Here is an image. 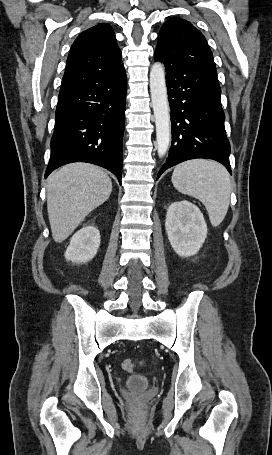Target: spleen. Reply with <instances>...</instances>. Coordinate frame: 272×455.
<instances>
[{
	"instance_id": "spleen-1",
	"label": "spleen",
	"mask_w": 272,
	"mask_h": 455,
	"mask_svg": "<svg viewBox=\"0 0 272 455\" xmlns=\"http://www.w3.org/2000/svg\"><path fill=\"white\" fill-rule=\"evenodd\" d=\"M172 183L182 194L204 204L212 226L221 224L229 208L231 193L229 173L224 166L204 159L186 161L175 167Z\"/></svg>"
}]
</instances>
